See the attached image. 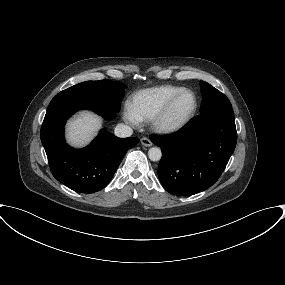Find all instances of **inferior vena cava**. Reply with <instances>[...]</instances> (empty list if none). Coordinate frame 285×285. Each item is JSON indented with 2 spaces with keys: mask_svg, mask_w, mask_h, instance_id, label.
Returning <instances> with one entry per match:
<instances>
[{
  "mask_svg": "<svg viewBox=\"0 0 285 285\" xmlns=\"http://www.w3.org/2000/svg\"><path fill=\"white\" fill-rule=\"evenodd\" d=\"M114 133L117 137L126 138V137H130L132 135L133 130L127 125L118 124L115 127Z\"/></svg>",
  "mask_w": 285,
  "mask_h": 285,
  "instance_id": "obj_1",
  "label": "inferior vena cava"
}]
</instances>
